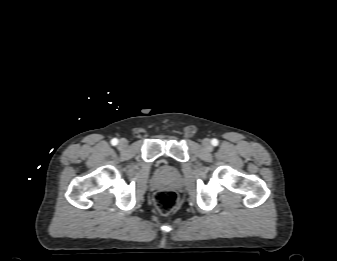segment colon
Masks as SVG:
<instances>
[{
    "mask_svg": "<svg viewBox=\"0 0 337 261\" xmlns=\"http://www.w3.org/2000/svg\"><path fill=\"white\" fill-rule=\"evenodd\" d=\"M178 200V194L173 190H160L154 196L155 207L163 215L172 212L176 208Z\"/></svg>",
    "mask_w": 337,
    "mask_h": 261,
    "instance_id": "colon-1",
    "label": "colon"
}]
</instances>
